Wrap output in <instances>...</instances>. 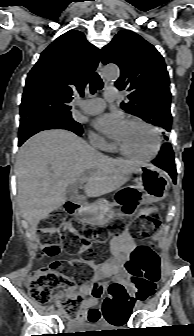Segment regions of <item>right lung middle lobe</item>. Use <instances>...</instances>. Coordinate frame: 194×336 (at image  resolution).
Wrapping results in <instances>:
<instances>
[{
    "mask_svg": "<svg viewBox=\"0 0 194 336\" xmlns=\"http://www.w3.org/2000/svg\"><path fill=\"white\" fill-rule=\"evenodd\" d=\"M46 129H65L82 134V126L76 122L69 112H43L29 120L21 121L19 140L28 139L32 135Z\"/></svg>",
    "mask_w": 194,
    "mask_h": 336,
    "instance_id": "1",
    "label": "right lung middle lobe"
}]
</instances>
